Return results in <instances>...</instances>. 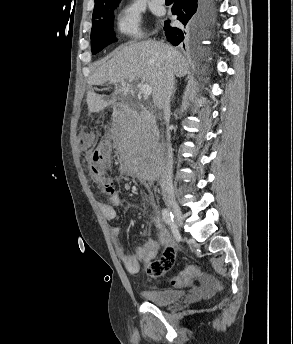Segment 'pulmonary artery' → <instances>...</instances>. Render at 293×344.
<instances>
[{"label":"pulmonary artery","mask_w":293,"mask_h":344,"mask_svg":"<svg viewBox=\"0 0 293 344\" xmlns=\"http://www.w3.org/2000/svg\"><path fill=\"white\" fill-rule=\"evenodd\" d=\"M154 3L163 4L165 0H152Z\"/></svg>","instance_id":"1"}]
</instances>
